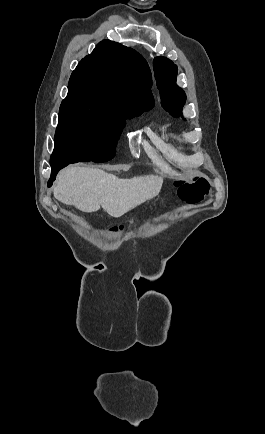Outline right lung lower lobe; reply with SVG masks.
I'll use <instances>...</instances> for the list:
<instances>
[{"mask_svg":"<svg viewBox=\"0 0 265 434\" xmlns=\"http://www.w3.org/2000/svg\"><path fill=\"white\" fill-rule=\"evenodd\" d=\"M68 164H64V165H59V166H55V167H51L52 171H51V177L48 181V187H50L53 184V181L56 178L57 173L59 172V170H61L62 168H64L65 166H67Z\"/></svg>","mask_w":265,"mask_h":434,"instance_id":"1","label":"right lung lower lobe"}]
</instances>
